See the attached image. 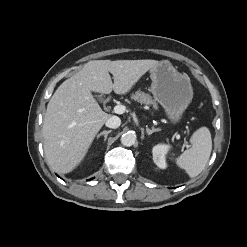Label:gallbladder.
<instances>
[{
	"instance_id": "obj_1",
	"label": "gallbladder",
	"mask_w": 247,
	"mask_h": 247,
	"mask_svg": "<svg viewBox=\"0 0 247 247\" xmlns=\"http://www.w3.org/2000/svg\"><path fill=\"white\" fill-rule=\"evenodd\" d=\"M100 100H102V97H101V95H96Z\"/></svg>"
}]
</instances>
